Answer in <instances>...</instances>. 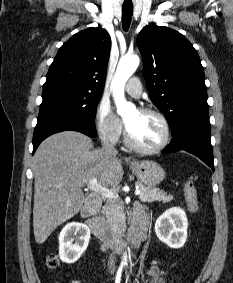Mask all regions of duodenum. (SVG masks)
Listing matches in <instances>:
<instances>
[{"label":"duodenum","instance_id":"1","mask_svg":"<svg viewBox=\"0 0 233 283\" xmlns=\"http://www.w3.org/2000/svg\"><path fill=\"white\" fill-rule=\"evenodd\" d=\"M101 199L98 196H90L86 204L81 210V216L86 225L91 229L93 234L98 238L104 248L114 247L118 251L124 250L126 247L136 251L139 249L141 242L146 237L147 223L141 219L133 223L129 232L127 242L117 241L107 226L101 221L96 213L100 207Z\"/></svg>","mask_w":233,"mask_h":283}]
</instances>
